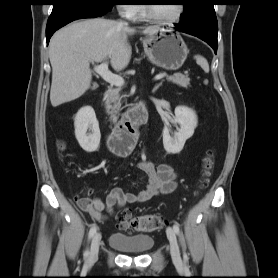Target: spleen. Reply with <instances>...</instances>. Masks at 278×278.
<instances>
[{
  "mask_svg": "<svg viewBox=\"0 0 278 278\" xmlns=\"http://www.w3.org/2000/svg\"><path fill=\"white\" fill-rule=\"evenodd\" d=\"M195 59H196L197 64L200 65L201 68L206 73H208L209 72V64H208L207 60L204 57L200 56V55L195 56Z\"/></svg>",
  "mask_w": 278,
  "mask_h": 278,
  "instance_id": "3e777b00",
  "label": "spleen"
}]
</instances>
